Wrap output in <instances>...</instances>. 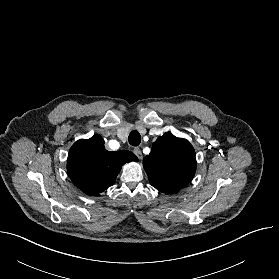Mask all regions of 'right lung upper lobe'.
Wrapping results in <instances>:
<instances>
[{"label":"right lung upper lobe","instance_id":"1","mask_svg":"<svg viewBox=\"0 0 279 279\" xmlns=\"http://www.w3.org/2000/svg\"><path fill=\"white\" fill-rule=\"evenodd\" d=\"M137 160L130 151H107L102 137L94 135L73 144L67 169L79 189L87 195L98 196L115 183L123 164Z\"/></svg>","mask_w":279,"mask_h":279}]
</instances>
